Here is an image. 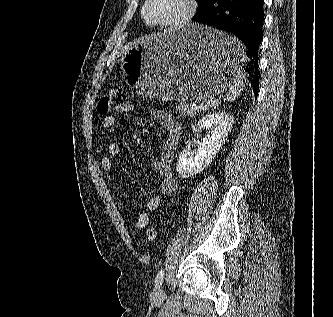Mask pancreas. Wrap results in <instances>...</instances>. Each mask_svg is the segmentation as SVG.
Returning <instances> with one entry per match:
<instances>
[{"label":"pancreas","mask_w":333,"mask_h":317,"mask_svg":"<svg viewBox=\"0 0 333 317\" xmlns=\"http://www.w3.org/2000/svg\"><path fill=\"white\" fill-rule=\"evenodd\" d=\"M214 107H215L214 101H206L200 105H197L196 103H181L176 108L184 115L195 117L198 113L209 110Z\"/></svg>","instance_id":"1"}]
</instances>
